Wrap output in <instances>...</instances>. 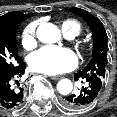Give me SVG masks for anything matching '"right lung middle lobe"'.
<instances>
[{
    "instance_id": "dd1d6c3e",
    "label": "right lung middle lobe",
    "mask_w": 117,
    "mask_h": 117,
    "mask_svg": "<svg viewBox=\"0 0 117 117\" xmlns=\"http://www.w3.org/2000/svg\"><path fill=\"white\" fill-rule=\"evenodd\" d=\"M19 23L0 26V67L11 68L22 62L16 43V31Z\"/></svg>"
}]
</instances>
